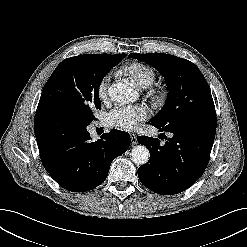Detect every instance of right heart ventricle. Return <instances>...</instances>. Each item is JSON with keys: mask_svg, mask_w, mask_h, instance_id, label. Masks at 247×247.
Wrapping results in <instances>:
<instances>
[{"mask_svg": "<svg viewBox=\"0 0 247 247\" xmlns=\"http://www.w3.org/2000/svg\"><path fill=\"white\" fill-rule=\"evenodd\" d=\"M122 73L140 88L151 84L155 79V71L142 63H130L123 67Z\"/></svg>", "mask_w": 247, "mask_h": 247, "instance_id": "e07e8e85", "label": "right heart ventricle"}]
</instances>
